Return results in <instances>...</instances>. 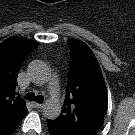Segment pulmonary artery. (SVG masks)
<instances>
[{
    "mask_svg": "<svg viewBox=\"0 0 135 135\" xmlns=\"http://www.w3.org/2000/svg\"><path fill=\"white\" fill-rule=\"evenodd\" d=\"M49 88H50V93L53 97V101L58 102L59 92H58V79L56 75L52 77Z\"/></svg>",
    "mask_w": 135,
    "mask_h": 135,
    "instance_id": "obj_1",
    "label": "pulmonary artery"
}]
</instances>
